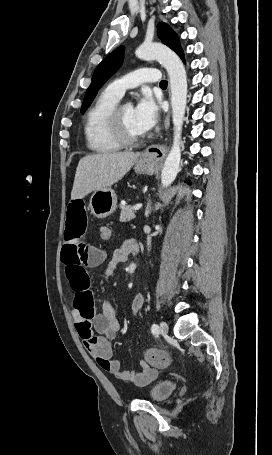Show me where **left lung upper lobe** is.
Returning <instances> with one entry per match:
<instances>
[{
  "instance_id": "5c2ea615",
  "label": "left lung upper lobe",
  "mask_w": 272,
  "mask_h": 455,
  "mask_svg": "<svg viewBox=\"0 0 272 455\" xmlns=\"http://www.w3.org/2000/svg\"><path fill=\"white\" fill-rule=\"evenodd\" d=\"M157 29L158 36L161 39L162 43L170 47L180 57L184 56V53L180 46L179 37L170 28V26L166 23L160 22L157 26ZM123 56L124 48L120 46L112 53H110L107 57H105L104 60L97 66L93 74L91 84L86 91L81 113H84L87 110L95 98L98 90L120 68L123 62Z\"/></svg>"
}]
</instances>
